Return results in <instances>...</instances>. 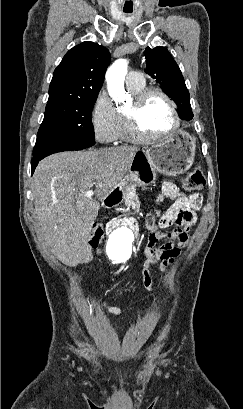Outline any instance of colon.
Instances as JSON below:
<instances>
[{
    "mask_svg": "<svg viewBox=\"0 0 243 409\" xmlns=\"http://www.w3.org/2000/svg\"><path fill=\"white\" fill-rule=\"evenodd\" d=\"M205 185L206 178L200 166H196L191 172H189L184 181V187L189 191L202 190ZM146 226L148 230L151 231V234L159 232L156 228V219L152 215H149L146 218ZM103 234L104 231L102 226L99 224L94 225L89 238L90 245L97 247L103 238Z\"/></svg>",
    "mask_w": 243,
    "mask_h": 409,
    "instance_id": "5ec220e1",
    "label": "colon"
}]
</instances>
